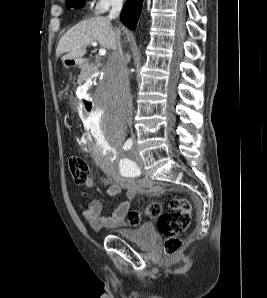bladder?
Listing matches in <instances>:
<instances>
[{
	"mask_svg": "<svg viewBox=\"0 0 267 298\" xmlns=\"http://www.w3.org/2000/svg\"><path fill=\"white\" fill-rule=\"evenodd\" d=\"M118 236L139 247H149L156 239L154 228L151 224L142 225L136 229L118 231Z\"/></svg>",
	"mask_w": 267,
	"mask_h": 298,
	"instance_id": "bladder-1",
	"label": "bladder"
}]
</instances>
